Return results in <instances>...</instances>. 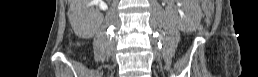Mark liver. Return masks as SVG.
<instances>
[{"label": "liver", "mask_w": 258, "mask_h": 77, "mask_svg": "<svg viewBox=\"0 0 258 77\" xmlns=\"http://www.w3.org/2000/svg\"><path fill=\"white\" fill-rule=\"evenodd\" d=\"M70 7L68 11V17L71 23L73 24L79 17L85 18V5L88 3V0H69ZM85 20V19H84Z\"/></svg>", "instance_id": "obj_1"}]
</instances>
